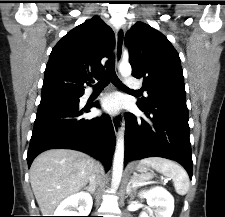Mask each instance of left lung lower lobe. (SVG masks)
I'll return each instance as SVG.
<instances>
[{
  "instance_id": "0a47b994",
  "label": "left lung lower lobe",
  "mask_w": 225,
  "mask_h": 217,
  "mask_svg": "<svg viewBox=\"0 0 225 217\" xmlns=\"http://www.w3.org/2000/svg\"><path fill=\"white\" fill-rule=\"evenodd\" d=\"M138 105V104H137ZM145 113H125L124 163L146 157H164L180 163L192 179V153L186 102H153L138 105Z\"/></svg>"
}]
</instances>
